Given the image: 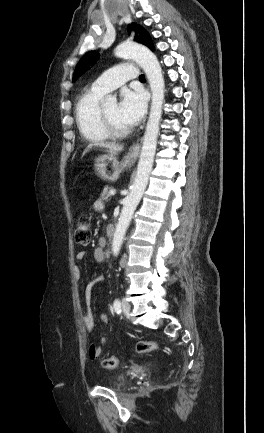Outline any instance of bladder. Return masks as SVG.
I'll return each mask as SVG.
<instances>
[{"label":"bladder","instance_id":"31cf9c89","mask_svg":"<svg viewBox=\"0 0 264 433\" xmlns=\"http://www.w3.org/2000/svg\"><path fill=\"white\" fill-rule=\"evenodd\" d=\"M126 383V376L124 374L117 375L116 379L112 383V388H123Z\"/></svg>","mask_w":264,"mask_h":433}]
</instances>
